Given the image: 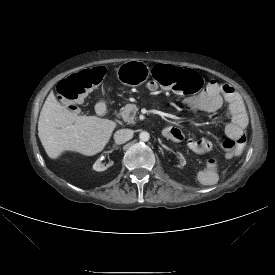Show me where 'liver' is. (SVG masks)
I'll list each match as a JSON object with an SVG mask.
<instances>
[{"label":"liver","mask_w":275,"mask_h":275,"mask_svg":"<svg viewBox=\"0 0 275 275\" xmlns=\"http://www.w3.org/2000/svg\"><path fill=\"white\" fill-rule=\"evenodd\" d=\"M116 123L95 116H78L61 105L50 92L41 109L38 136L51 159L64 151L93 156L109 142Z\"/></svg>","instance_id":"obj_1"}]
</instances>
